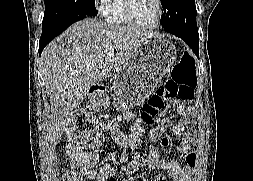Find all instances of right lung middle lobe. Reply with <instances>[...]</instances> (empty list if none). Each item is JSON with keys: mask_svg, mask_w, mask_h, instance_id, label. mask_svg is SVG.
I'll return each mask as SVG.
<instances>
[{"mask_svg": "<svg viewBox=\"0 0 253 181\" xmlns=\"http://www.w3.org/2000/svg\"><path fill=\"white\" fill-rule=\"evenodd\" d=\"M42 28L50 27L79 15H97L94 0H44Z\"/></svg>", "mask_w": 253, "mask_h": 181, "instance_id": "right-lung-middle-lobe-1", "label": "right lung middle lobe"}]
</instances>
